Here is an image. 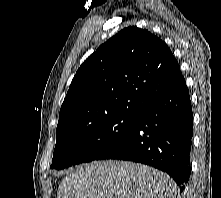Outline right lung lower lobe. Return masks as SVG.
Here are the masks:
<instances>
[{
	"label": "right lung lower lobe",
	"instance_id": "obj_1",
	"mask_svg": "<svg viewBox=\"0 0 221 198\" xmlns=\"http://www.w3.org/2000/svg\"><path fill=\"white\" fill-rule=\"evenodd\" d=\"M193 112L183 78L149 103L133 129L97 156L140 162L168 173L182 192L189 180Z\"/></svg>",
	"mask_w": 221,
	"mask_h": 198
}]
</instances>
